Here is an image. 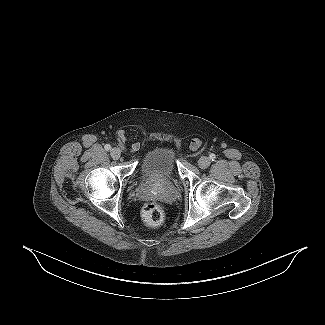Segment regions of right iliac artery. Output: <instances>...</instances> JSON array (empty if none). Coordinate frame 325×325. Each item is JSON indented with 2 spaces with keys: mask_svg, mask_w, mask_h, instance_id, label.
<instances>
[{
  "mask_svg": "<svg viewBox=\"0 0 325 325\" xmlns=\"http://www.w3.org/2000/svg\"><path fill=\"white\" fill-rule=\"evenodd\" d=\"M105 150L110 151L111 150V146L109 144H106L105 145Z\"/></svg>",
  "mask_w": 325,
  "mask_h": 325,
  "instance_id": "82829eb1",
  "label": "right iliac artery"
}]
</instances>
